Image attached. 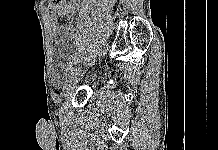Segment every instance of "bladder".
Instances as JSON below:
<instances>
[{
  "mask_svg": "<svg viewBox=\"0 0 218 150\" xmlns=\"http://www.w3.org/2000/svg\"><path fill=\"white\" fill-rule=\"evenodd\" d=\"M55 54L59 60L64 59V54L62 53V49L60 47H56ZM53 76L55 80L59 83H61L60 88H63L69 84V82H76L78 79L75 75H72V69L66 65L65 63H62V61H59L53 69ZM91 79H94L95 76L92 75Z\"/></svg>",
  "mask_w": 218,
  "mask_h": 150,
  "instance_id": "1",
  "label": "bladder"
}]
</instances>
